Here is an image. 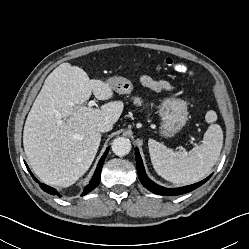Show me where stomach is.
<instances>
[{
  "instance_id": "0dacf381",
  "label": "stomach",
  "mask_w": 249,
  "mask_h": 249,
  "mask_svg": "<svg viewBox=\"0 0 249 249\" xmlns=\"http://www.w3.org/2000/svg\"><path fill=\"white\" fill-rule=\"evenodd\" d=\"M113 91L119 94H129L133 90V84L124 77H112L107 80ZM161 118V134L172 137L186 123L188 119L187 104L184 100L174 97L165 98L159 108Z\"/></svg>"
}]
</instances>
